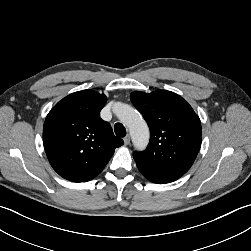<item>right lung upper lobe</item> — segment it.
<instances>
[{
  "label": "right lung upper lobe",
  "mask_w": 251,
  "mask_h": 251,
  "mask_svg": "<svg viewBox=\"0 0 251 251\" xmlns=\"http://www.w3.org/2000/svg\"><path fill=\"white\" fill-rule=\"evenodd\" d=\"M106 96L93 90L72 93L48 113L43 144L53 169L73 182L96 177L109 162L115 148L124 144L100 118Z\"/></svg>",
  "instance_id": "obj_1"
}]
</instances>
